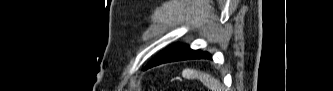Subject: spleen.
<instances>
[{"label": "spleen", "mask_w": 333, "mask_h": 91, "mask_svg": "<svg viewBox=\"0 0 333 91\" xmlns=\"http://www.w3.org/2000/svg\"><path fill=\"white\" fill-rule=\"evenodd\" d=\"M182 75L186 79H199L211 91H223V86L220 81L213 76L192 69H185Z\"/></svg>", "instance_id": "3e777b00"}]
</instances>
